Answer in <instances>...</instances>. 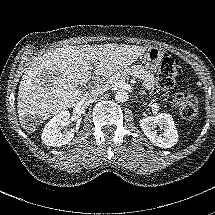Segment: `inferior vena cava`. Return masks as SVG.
<instances>
[{
    "label": "inferior vena cava",
    "instance_id": "1",
    "mask_svg": "<svg viewBox=\"0 0 215 215\" xmlns=\"http://www.w3.org/2000/svg\"><path fill=\"white\" fill-rule=\"evenodd\" d=\"M105 91H106L105 87L104 88L96 87L95 89H91L87 92H84L83 99L90 100V99L97 98L99 95H102L103 92Z\"/></svg>",
    "mask_w": 215,
    "mask_h": 215
}]
</instances>
